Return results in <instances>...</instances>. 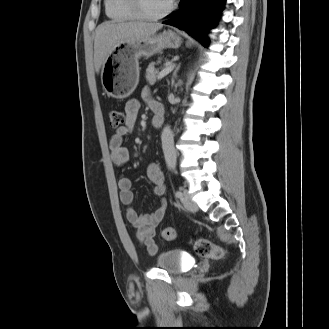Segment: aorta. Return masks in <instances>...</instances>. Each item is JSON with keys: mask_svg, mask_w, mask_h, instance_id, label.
<instances>
[{"mask_svg": "<svg viewBox=\"0 0 329 329\" xmlns=\"http://www.w3.org/2000/svg\"><path fill=\"white\" fill-rule=\"evenodd\" d=\"M162 149L167 167L174 169L176 166V151L174 148V137L170 126H165L161 134Z\"/></svg>", "mask_w": 329, "mask_h": 329, "instance_id": "762f6f07", "label": "aorta"}]
</instances>
